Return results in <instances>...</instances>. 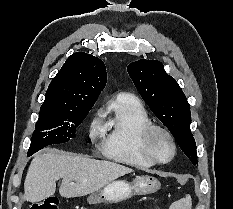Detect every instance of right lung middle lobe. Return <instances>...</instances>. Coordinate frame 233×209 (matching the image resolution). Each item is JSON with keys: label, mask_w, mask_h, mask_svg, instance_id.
Returning <instances> with one entry per match:
<instances>
[{"label": "right lung middle lobe", "mask_w": 233, "mask_h": 209, "mask_svg": "<svg viewBox=\"0 0 233 209\" xmlns=\"http://www.w3.org/2000/svg\"><path fill=\"white\" fill-rule=\"evenodd\" d=\"M93 105L74 107L63 113L39 114L36 130L32 134L28 156L51 144L68 142L75 137L81 124Z\"/></svg>", "instance_id": "right-lung-middle-lobe-1"}]
</instances>
